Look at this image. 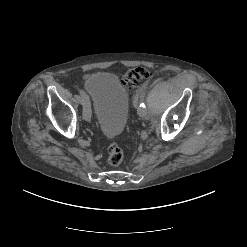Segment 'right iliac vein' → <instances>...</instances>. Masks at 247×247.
<instances>
[{
	"label": "right iliac vein",
	"mask_w": 247,
	"mask_h": 247,
	"mask_svg": "<svg viewBox=\"0 0 247 247\" xmlns=\"http://www.w3.org/2000/svg\"><path fill=\"white\" fill-rule=\"evenodd\" d=\"M85 104L83 106V117L86 121H90L91 119V106L88 98L84 99Z\"/></svg>",
	"instance_id": "1"
}]
</instances>
